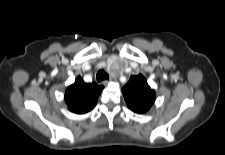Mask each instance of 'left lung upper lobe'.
I'll use <instances>...</instances> for the list:
<instances>
[{
  "label": "left lung upper lobe",
  "instance_id": "1",
  "mask_svg": "<svg viewBox=\"0 0 225 155\" xmlns=\"http://www.w3.org/2000/svg\"><path fill=\"white\" fill-rule=\"evenodd\" d=\"M122 92L128 108L138 114L147 112L156 98L154 90L142 75L131 76Z\"/></svg>",
  "mask_w": 225,
  "mask_h": 155
}]
</instances>
